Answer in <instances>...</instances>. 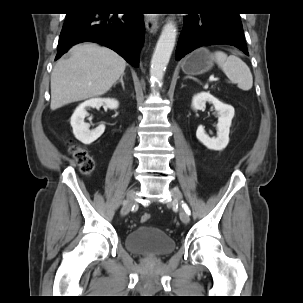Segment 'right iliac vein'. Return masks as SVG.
<instances>
[{
    "instance_id": "63e3f726",
    "label": "right iliac vein",
    "mask_w": 303,
    "mask_h": 303,
    "mask_svg": "<svg viewBox=\"0 0 303 303\" xmlns=\"http://www.w3.org/2000/svg\"><path fill=\"white\" fill-rule=\"evenodd\" d=\"M134 200H135V191L130 190L127 194L126 202L124 203V205L121 209V215L122 216H125L130 212V210H131V208L134 204Z\"/></svg>"
}]
</instances>
